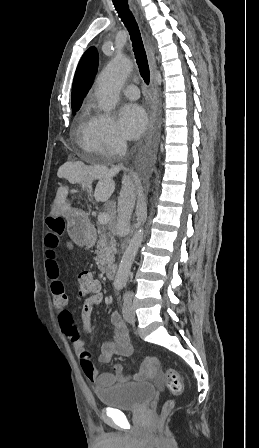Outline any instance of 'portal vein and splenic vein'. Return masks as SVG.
<instances>
[{
	"instance_id": "18ae733b",
	"label": "portal vein and splenic vein",
	"mask_w": 259,
	"mask_h": 448,
	"mask_svg": "<svg viewBox=\"0 0 259 448\" xmlns=\"http://www.w3.org/2000/svg\"><path fill=\"white\" fill-rule=\"evenodd\" d=\"M109 220H110L109 214H99L98 216V222L99 224H103V226H105V224H108Z\"/></svg>"
}]
</instances>
